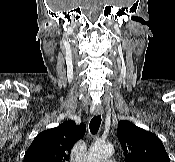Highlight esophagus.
I'll return each instance as SVG.
<instances>
[{
  "label": "esophagus",
  "instance_id": "1",
  "mask_svg": "<svg viewBox=\"0 0 175 162\" xmlns=\"http://www.w3.org/2000/svg\"><path fill=\"white\" fill-rule=\"evenodd\" d=\"M103 113H104V111H103L102 107H96L94 110L95 115H102Z\"/></svg>",
  "mask_w": 175,
  "mask_h": 162
}]
</instances>
